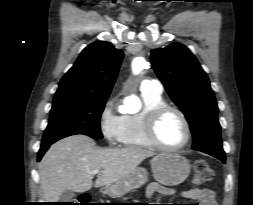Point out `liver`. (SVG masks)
<instances>
[{"mask_svg":"<svg viewBox=\"0 0 253 205\" xmlns=\"http://www.w3.org/2000/svg\"><path fill=\"white\" fill-rule=\"evenodd\" d=\"M153 155L139 147L97 149L94 140L85 135L61 139L49 148L39 164L44 200L58 202L65 190L79 193L90 190L95 170H101L95 188L115 183Z\"/></svg>","mask_w":253,"mask_h":205,"instance_id":"obj_1","label":"liver"}]
</instances>
